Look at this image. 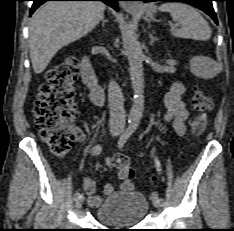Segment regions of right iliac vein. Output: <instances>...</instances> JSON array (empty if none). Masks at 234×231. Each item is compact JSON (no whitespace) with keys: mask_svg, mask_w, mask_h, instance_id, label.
<instances>
[{"mask_svg":"<svg viewBox=\"0 0 234 231\" xmlns=\"http://www.w3.org/2000/svg\"><path fill=\"white\" fill-rule=\"evenodd\" d=\"M111 133L113 135H117L118 134V129H112ZM82 204H83V196H80L75 200V208L79 209L82 206Z\"/></svg>","mask_w":234,"mask_h":231,"instance_id":"1","label":"right iliac vein"}]
</instances>
